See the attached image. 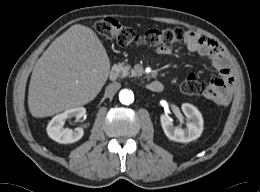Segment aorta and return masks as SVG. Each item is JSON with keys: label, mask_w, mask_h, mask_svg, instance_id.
I'll use <instances>...</instances> for the list:
<instances>
[{"label": "aorta", "mask_w": 260, "mask_h": 192, "mask_svg": "<svg viewBox=\"0 0 260 192\" xmlns=\"http://www.w3.org/2000/svg\"><path fill=\"white\" fill-rule=\"evenodd\" d=\"M119 100L124 105H129L134 101V94L129 89H122L119 93Z\"/></svg>", "instance_id": "aorta-1"}]
</instances>
